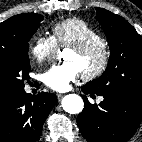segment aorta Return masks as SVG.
<instances>
[{
    "instance_id": "1",
    "label": "aorta",
    "mask_w": 142,
    "mask_h": 142,
    "mask_svg": "<svg viewBox=\"0 0 142 142\" xmlns=\"http://www.w3.org/2000/svg\"><path fill=\"white\" fill-rule=\"evenodd\" d=\"M63 109L70 114H78L83 110L84 102L77 94H68L62 99Z\"/></svg>"
}]
</instances>
